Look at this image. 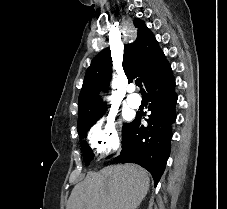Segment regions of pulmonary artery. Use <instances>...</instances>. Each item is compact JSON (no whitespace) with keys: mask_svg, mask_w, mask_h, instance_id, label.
<instances>
[{"mask_svg":"<svg viewBox=\"0 0 227 209\" xmlns=\"http://www.w3.org/2000/svg\"><path fill=\"white\" fill-rule=\"evenodd\" d=\"M131 86H134V83H131ZM126 91L130 92V94L128 95V97L126 99L127 104H129L130 106H132L134 108H138L142 103V98L136 92L137 88L136 87H127Z\"/></svg>","mask_w":227,"mask_h":209,"instance_id":"obj_1","label":"pulmonary artery"}]
</instances>
